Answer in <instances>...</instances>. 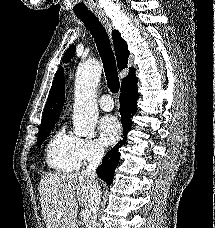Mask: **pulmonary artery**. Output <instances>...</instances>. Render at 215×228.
I'll return each instance as SVG.
<instances>
[{"label":"pulmonary artery","instance_id":"e3ab8cb5","mask_svg":"<svg viewBox=\"0 0 215 228\" xmlns=\"http://www.w3.org/2000/svg\"><path fill=\"white\" fill-rule=\"evenodd\" d=\"M100 107L105 111H110L114 108V101L110 95H103L99 100Z\"/></svg>","mask_w":215,"mask_h":228}]
</instances>
